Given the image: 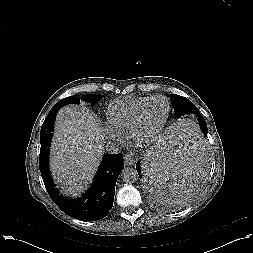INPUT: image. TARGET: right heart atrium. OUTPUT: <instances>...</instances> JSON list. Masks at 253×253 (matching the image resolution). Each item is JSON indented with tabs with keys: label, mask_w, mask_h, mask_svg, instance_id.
Listing matches in <instances>:
<instances>
[{
	"label": "right heart atrium",
	"mask_w": 253,
	"mask_h": 253,
	"mask_svg": "<svg viewBox=\"0 0 253 253\" xmlns=\"http://www.w3.org/2000/svg\"><path fill=\"white\" fill-rule=\"evenodd\" d=\"M111 129V128H110ZM109 131V130H108ZM114 132V131H113ZM115 133V132H114ZM109 134H110V136L112 137V138H114V136L110 133V131H109ZM117 134V133H116ZM119 135V134H118Z\"/></svg>",
	"instance_id": "obj_1"
}]
</instances>
